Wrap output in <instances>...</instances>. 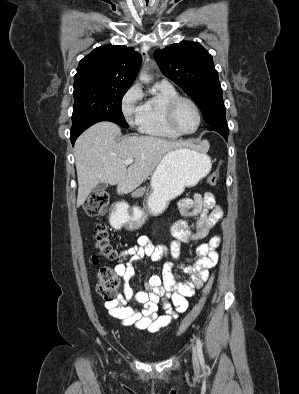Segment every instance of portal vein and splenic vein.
Instances as JSON below:
<instances>
[{"mask_svg":"<svg viewBox=\"0 0 299 394\" xmlns=\"http://www.w3.org/2000/svg\"><path fill=\"white\" fill-rule=\"evenodd\" d=\"M133 158H128V159H126L124 162L126 163V164H132L133 163Z\"/></svg>","mask_w":299,"mask_h":394,"instance_id":"obj_1","label":"portal vein and splenic vein"}]
</instances>
